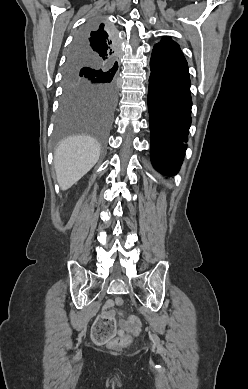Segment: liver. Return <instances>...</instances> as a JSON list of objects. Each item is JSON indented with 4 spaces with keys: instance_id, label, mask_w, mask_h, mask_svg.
<instances>
[{
    "instance_id": "6515ba94",
    "label": "liver",
    "mask_w": 248,
    "mask_h": 389,
    "mask_svg": "<svg viewBox=\"0 0 248 389\" xmlns=\"http://www.w3.org/2000/svg\"><path fill=\"white\" fill-rule=\"evenodd\" d=\"M100 145L86 135H74L62 140L54 153V167L61 190L78 182L97 163Z\"/></svg>"
}]
</instances>
